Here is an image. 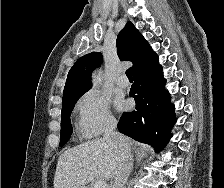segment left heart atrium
<instances>
[{"label": "left heart atrium", "mask_w": 224, "mask_h": 188, "mask_svg": "<svg viewBox=\"0 0 224 188\" xmlns=\"http://www.w3.org/2000/svg\"><path fill=\"white\" fill-rule=\"evenodd\" d=\"M116 105L118 109H125L127 107V103L122 99H118Z\"/></svg>", "instance_id": "1"}]
</instances>
